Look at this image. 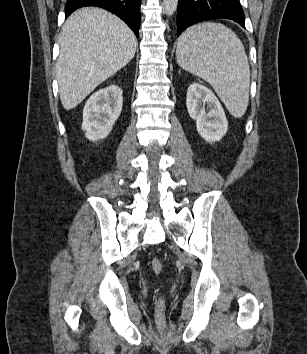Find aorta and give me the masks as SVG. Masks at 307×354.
Instances as JSON below:
<instances>
[{"label": "aorta", "instance_id": "aorta-1", "mask_svg": "<svg viewBox=\"0 0 307 354\" xmlns=\"http://www.w3.org/2000/svg\"><path fill=\"white\" fill-rule=\"evenodd\" d=\"M179 0H163L164 11L167 16H171L177 9Z\"/></svg>", "mask_w": 307, "mask_h": 354}]
</instances>
